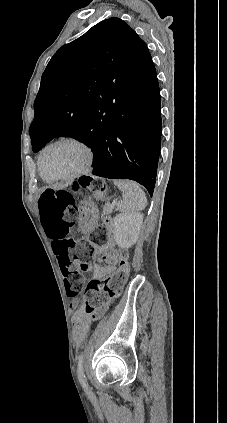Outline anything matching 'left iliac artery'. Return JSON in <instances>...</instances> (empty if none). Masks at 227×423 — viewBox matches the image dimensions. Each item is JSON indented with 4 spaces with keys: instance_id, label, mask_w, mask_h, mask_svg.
<instances>
[{
    "instance_id": "left-iliac-artery-1",
    "label": "left iliac artery",
    "mask_w": 227,
    "mask_h": 423,
    "mask_svg": "<svg viewBox=\"0 0 227 423\" xmlns=\"http://www.w3.org/2000/svg\"><path fill=\"white\" fill-rule=\"evenodd\" d=\"M77 375L80 384L82 385L83 389L86 391L88 390V383L85 378L84 369H83V354L79 355L78 357V365H77Z\"/></svg>"
}]
</instances>
